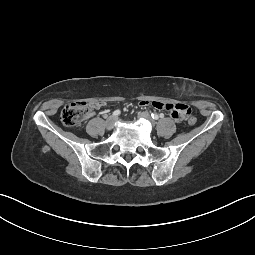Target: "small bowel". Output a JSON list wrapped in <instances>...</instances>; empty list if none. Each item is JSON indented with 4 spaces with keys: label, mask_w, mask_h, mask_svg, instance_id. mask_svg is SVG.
Here are the masks:
<instances>
[{
    "label": "small bowel",
    "mask_w": 255,
    "mask_h": 255,
    "mask_svg": "<svg viewBox=\"0 0 255 255\" xmlns=\"http://www.w3.org/2000/svg\"><path fill=\"white\" fill-rule=\"evenodd\" d=\"M102 105L103 103L96 102L93 104V107L100 108ZM141 105H151L155 109L165 110L170 113L172 119L175 121L187 119L191 115V107L188 104H171L158 101L153 102L143 101L141 102Z\"/></svg>",
    "instance_id": "1"
}]
</instances>
